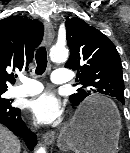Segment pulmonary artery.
Masks as SVG:
<instances>
[{
    "label": "pulmonary artery",
    "mask_w": 130,
    "mask_h": 153,
    "mask_svg": "<svg viewBox=\"0 0 130 153\" xmlns=\"http://www.w3.org/2000/svg\"><path fill=\"white\" fill-rule=\"evenodd\" d=\"M70 79L71 76L66 70H55L51 75V80L55 84H65L69 82ZM20 81L22 85L13 87L7 92L8 98L33 96L43 90V85L36 80L21 77Z\"/></svg>",
    "instance_id": "e3ab8cb5"
}]
</instances>
